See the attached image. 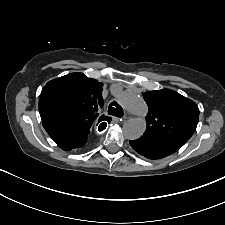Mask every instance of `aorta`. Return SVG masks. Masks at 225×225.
<instances>
[{"label": "aorta", "instance_id": "aorta-1", "mask_svg": "<svg viewBox=\"0 0 225 225\" xmlns=\"http://www.w3.org/2000/svg\"><path fill=\"white\" fill-rule=\"evenodd\" d=\"M118 102L128 111L140 116L126 121L123 125V134L126 139L135 140L140 138L146 130V121L141 117L147 112L145 101L133 93L121 92Z\"/></svg>", "mask_w": 225, "mask_h": 225}]
</instances>
